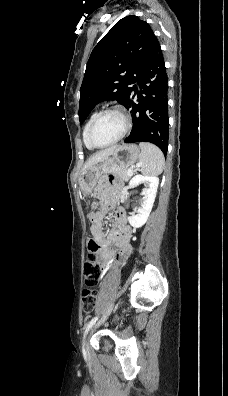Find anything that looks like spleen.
Returning <instances> with one entry per match:
<instances>
[{"instance_id": "1", "label": "spleen", "mask_w": 228, "mask_h": 396, "mask_svg": "<svg viewBox=\"0 0 228 396\" xmlns=\"http://www.w3.org/2000/svg\"><path fill=\"white\" fill-rule=\"evenodd\" d=\"M139 146L141 148V173L149 176L161 174L165 163L161 150L154 144L148 142H140Z\"/></svg>"}]
</instances>
